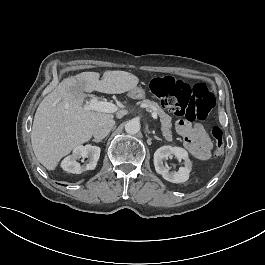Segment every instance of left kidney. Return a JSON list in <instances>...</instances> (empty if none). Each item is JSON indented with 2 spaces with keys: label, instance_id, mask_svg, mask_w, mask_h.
<instances>
[{
  "label": "left kidney",
  "instance_id": "left-kidney-1",
  "mask_svg": "<svg viewBox=\"0 0 265 265\" xmlns=\"http://www.w3.org/2000/svg\"><path fill=\"white\" fill-rule=\"evenodd\" d=\"M174 155L177 159H183L185 166L180 167L177 172H169V168L163 164V159ZM154 166L157 173L163 178L172 183H182L189 179V173L192 169V162L188 157V152L181 147L162 146L154 153Z\"/></svg>",
  "mask_w": 265,
  "mask_h": 265
}]
</instances>
